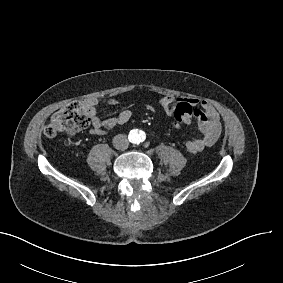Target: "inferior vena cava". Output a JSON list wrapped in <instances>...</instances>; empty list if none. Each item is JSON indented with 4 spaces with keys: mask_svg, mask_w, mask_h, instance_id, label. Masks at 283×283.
I'll use <instances>...</instances> for the list:
<instances>
[{
    "mask_svg": "<svg viewBox=\"0 0 283 283\" xmlns=\"http://www.w3.org/2000/svg\"><path fill=\"white\" fill-rule=\"evenodd\" d=\"M113 146L117 150H126L129 146V141L127 139V136L124 134H118L114 136L113 138Z\"/></svg>",
    "mask_w": 283,
    "mask_h": 283,
    "instance_id": "1",
    "label": "inferior vena cava"
}]
</instances>
